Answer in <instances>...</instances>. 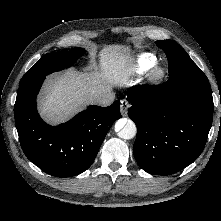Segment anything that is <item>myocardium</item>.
<instances>
[{
  "mask_svg": "<svg viewBox=\"0 0 221 221\" xmlns=\"http://www.w3.org/2000/svg\"><path fill=\"white\" fill-rule=\"evenodd\" d=\"M166 76V70L162 66H154L149 75H148V81L151 84H159L161 83Z\"/></svg>",
  "mask_w": 221,
  "mask_h": 221,
  "instance_id": "obj_1",
  "label": "myocardium"
}]
</instances>
